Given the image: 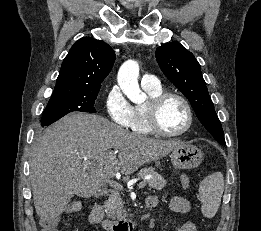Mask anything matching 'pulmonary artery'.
Listing matches in <instances>:
<instances>
[{"mask_svg":"<svg viewBox=\"0 0 261 231\" xmlns=\"http://www.w3.org/2000/svg\"><path fill=\"white\" fill-rule=\"evenodd\" d=\"M141 85L143 88H158L160 87V84L158 82V79L155 75L146 73L143 74L141 78Z\"/></svg>","mask_w":261,"mask_h":231,"instance_id":"obj_1","label":"pulmonary artery"}]
</instances>
